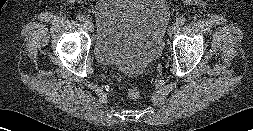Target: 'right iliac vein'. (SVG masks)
<instances>
[{"label":"right iliac vein","mask_w":253,"mask_h":131,"mask_svg":"<svg viewBox=\"0 0 253 131\" xmlns=\"http://www.w3.org/2000/svg\"><path fill=\"white\" fill-rule=\"evenodd\" d=\"M85 26L88 28L89 31L93 32V30H94V24H93L92 21L86 20L85 21Z\"/></svg>","instance_id":"1"}]
</instances>
